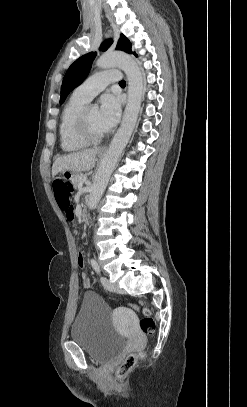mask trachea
Masks as SVG:
<instances>
[{
	"mask_svg": "<svg viewBox=\"0 0 247 407\" xmlns=\"http://www.w3.org/2000/svg\"><path fill=\"white\" fill-rule=\"evenodd\" d=\"M119 84H120V85H126L125 81H123V80L120 81Z\"/></svg>",
	"mask_w": 247,
	"mask_h": 407,
	"instance_id": "3493384b",
	"label": "trachea"
}]
</instances>
